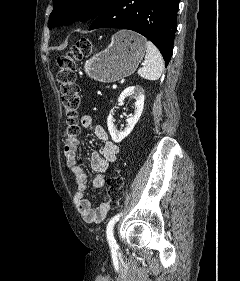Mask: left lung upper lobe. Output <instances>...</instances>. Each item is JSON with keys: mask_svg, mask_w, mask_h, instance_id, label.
<instances>
[{"mask_svg": "<svg viewBox=\"0 0 240 281\" xmlns=\"http://www.w3.org/2000/svg\"><path fill=\"white\" fill-rule=\"evenodd\" d=\"M110 0H53V11L50 14L48 26L69 24L75 19L86 21L101 13Z\"/></svg>", "mask_w": 240, "mask_h": 281, "instance_id": "1", "label": "left lung upper lobe"}]
</instances>
